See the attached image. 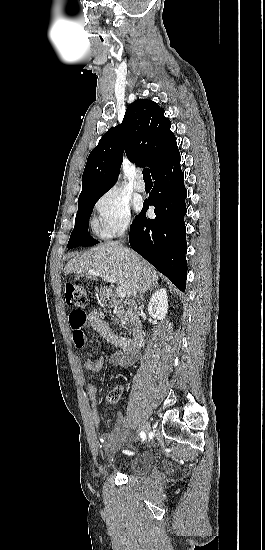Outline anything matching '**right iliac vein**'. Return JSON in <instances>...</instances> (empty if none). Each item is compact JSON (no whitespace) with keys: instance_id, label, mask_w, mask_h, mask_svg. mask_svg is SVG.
I'll list each match as a JSON object with an SVG mask.
<instances>
[{"instance_id":"1","label":"right iliac vein","mask_w":265,"mask_h":550,"mask_svg":"<svg viewBox=\"0 0 265 550\" xmlns=\"http://www.w3.org/2000/svg\"><path fill=\"white\" fill-rule=\"evenodd\" d=\"M142 429H143L144 433H148L149 430H150V423H149V422H145V423L143 424Z\"/></svg>"}]
</instances>
